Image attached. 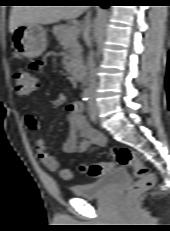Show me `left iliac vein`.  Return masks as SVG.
I'll return each instance as SVG.
<instances>
[{"label":"left iliac vein","instance_id":"left-iliac-vein-1","mask_svg":"<svg viewBox=\"0 0 170 231\" xmlns=\"http://www.w3.org/2000/svg\"><path fill=\"white\" fill-rule=\"evenodd\" d=\"M88 114L93 122L97 121V104L95 103L94 95H91V99L88 107Z\"/></svg>","mask_w":170,"mask_h":231}]
</instances>
